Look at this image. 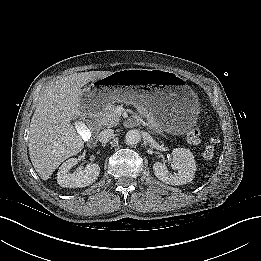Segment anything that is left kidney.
Listing matches in <instances>:
<instances>
[{"label": "left kidney", "mask_w": 261, "mask_h": 261, "mask_svg": "<svg viewBox=\"0 0 261 261\" xmlns=\"http://www.w3.org/2000/svg\"><path fill=\"white\" fill-rule=\"evenodd\" d=\"M173 164L176 172H170L161 162L153 164L155 176L166 184L182 185L191 182L196 171L194 156L189 149L175 148L172 151Z\"/></svg>", "instance_id": "left-kidney-1"}]
</instances>
